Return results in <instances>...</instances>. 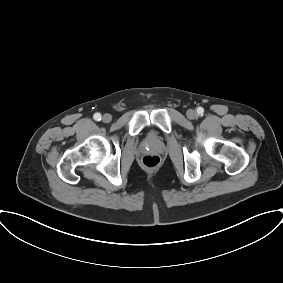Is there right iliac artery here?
Instances as JSON below:
<instances>
[{"label":"right iliac artery","mask_w":283,"mask_h":283,"mask_svg":"<svg viewBox=\"0 0 283 283\" xmlns=\"http://www.w3.org/2000/svg\"><path fill=\"white\" fill-rule=\"evenodd\" d=\"M94 120L100 121L101 120V114L100 113H95L93 116Z\"/></svg>","instance_id":"obj_1"}]
</instances>
